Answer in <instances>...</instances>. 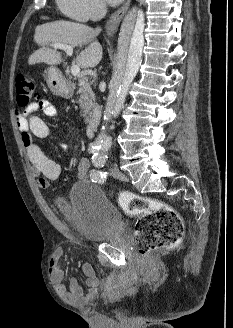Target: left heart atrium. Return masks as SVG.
<instances>
[{"label":"left heart atrium","instance_id":"left-heart-atrium-1","mask_svg":"<svg viewBox=\"0 0 233 328\" xmlns=\"http://www.w3.org/2000/svg\"><path fill=\"white\" fill-rule=\"evenodd\" d=\"M121 1L122 0H107V2L112 6L119 4Z\"/></svg>","mask_w":233,"mask_h":328}]
</instances>
